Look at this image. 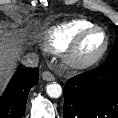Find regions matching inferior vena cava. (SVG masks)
<instances>
[{"label":"inferior vena cava","instance_id":"obj_1","mask_svg":"<svg viewBox=\"0 0 118 118\" xmlns=\"http://www.w3.org/2000/svg\"><path fill=\"white\" fill-rule=\"evenodd\" d=\"M39 62V57L35 53L26 54L21 58V63L26 67H37Z\"/></svg>","mask_w":118,"mask_h":118}]
</instances>
